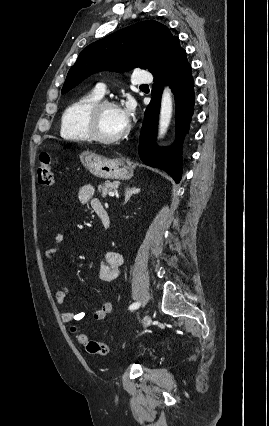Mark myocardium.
<instances>
[{"label":"myocardium","instance_id":"1","mask_svg":"<svg viewBox=\"0 0 269 426\" xmlns=\"http://www.w3.org/2000/svg\"><path fill=\"white\" fill-rule=\"evenodd\" d=\"M107 107L119 108V105L111 100L100 99L95 104H93L88 110L86 115V127L92 140L103 144H115L124 140L128 136L130 132V126L127 124L125 130L116 137L107 138L102 136L99 132L98 121L102 110Z\"/></svg>","mask_w":269,"mask_h":426}]
</instances>
